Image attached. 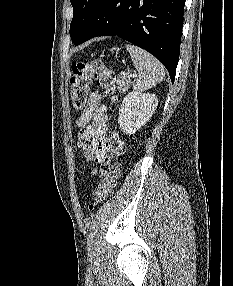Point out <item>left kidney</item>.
Segmentation results:
<instances>
[{
    "label": "left kidney",
    "mask_w": 233,
    "mask_h": 286,
    "mask_svg": "<svg viewBox=\"0 0 233 286\" xmlns=\"http://www.w3.org/2000/svg\"><path fill=\"white\" fill-rule=\"evenodd\" d=\"M158 105L155 94L130 92L121 104L118 123L125 134H135L152 117Z\"/></svg>",
    "instance_id": "1"
}]
</instances>
